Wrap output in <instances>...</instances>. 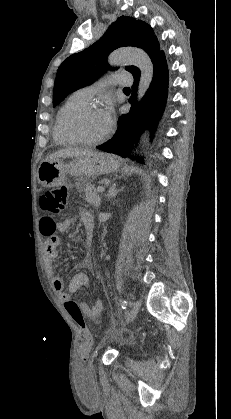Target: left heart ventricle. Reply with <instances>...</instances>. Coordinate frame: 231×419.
<instances>
[{
	"instance_id": "left-heart-ventricle-1",
	"label": "left heart ventricle",
	"mask_w": 231,
	"mask_h": 419,
	"mask_svg": "<svg viewBox=\"0 0 231 419\" xmlns=\"http://www.w3.org/2000/svg\"><path fill=\"white\" fill-rule=\"evenodd\" d=\"M71 126L76 133L87 139L98 138L108 130L102 112L98 109L80 114Z\"/></svg>"
}]
</instances>
